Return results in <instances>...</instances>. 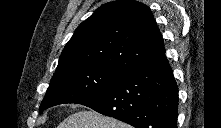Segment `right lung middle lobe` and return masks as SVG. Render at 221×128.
<instances>
[{"label": "right lung middle lobe", "mask_w": 221, "mask_h": 128, "mask_svg": "<svg viewBox=\"0 0 221 128\" xmlns=\"http://www.w3.org/2000/svg\"><path fill=\"white\" fill-rule=\"evenodd\" d=\"M125 73L97 66L58 70L40 106V113L52 106L79 101L107 89Z\"/></svg>", "instance_id": "right-lung-middle-lobe-1"}]
</instances>
